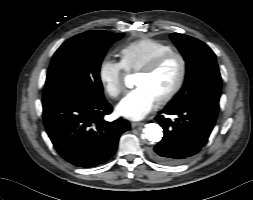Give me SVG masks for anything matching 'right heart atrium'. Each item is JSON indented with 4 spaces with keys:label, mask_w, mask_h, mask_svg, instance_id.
<instances>
[{
    "label": "right heart atrium",
    "mask_w": 253,
    "mask_h": 200,
    "mask_svg": "<svg viewBox=\"0 0 253 200\" xmlns=\"http://www.w3.org/2000/svg\"><path fill=\"white\" fill-rule=\"evenodd\" d=\"M98 78L111 98H117L125 90V70L120 62L104 58L98 67Z\"/></svg>",
    "instance_id": "obj_1"
}]
</instances>
